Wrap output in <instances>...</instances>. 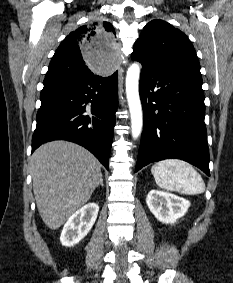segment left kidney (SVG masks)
Listing matches in <instances>:
<instances>
[{
  "instance_id": "5707ae66",
  "label": "left kidney",
  "mask_w": 233,
  "mask_h": 283,
  "mask_svg": "<svg viewBox=\"0 0 233 283\" xmlns=\"http://www.w3.org/2000/svg\"><path fill=\"white\" fill-rule=\"evenodd\" d=\"M146 203L152 214L165 224H174L190 207V202L184 198L159 190H151Z\"/></svg>"
}]
</instances>
